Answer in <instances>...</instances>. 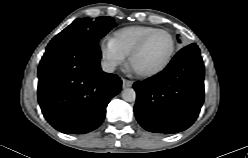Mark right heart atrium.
<instances>
[{
    "mask_svg": "<svg viewBox=\"0 0 248 158\" xmlns=\"http://www.w3.org/2000/svg\"><path fill=\"white\" fill-rule=\"evenodd\" d=\"M99 51L103 64L108 70H114L123 64L126 59V56L119 50L112 39H103L99 44Z\"/></svg>",
    "mask_w": 248,
    "mask_h": 158,
    "instance_id": "d8ad5b80",
    "label": "right heart atrium"
}]
</instances>
